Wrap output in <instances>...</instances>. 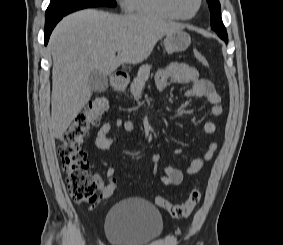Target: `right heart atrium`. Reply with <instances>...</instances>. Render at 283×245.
I'll use <instances>...</instances> for the list:
<instances>
[{
    "label": "right heart atrium",
    "mask_w": 283,
    "mask_h": 245,
    "mask_svg": "<svg viewBox=\"0 0 283 245\" xmlns=\"http://www.w3.org/2000/svg\"><path fill=\"white\" fill-rule=\"evenodd\" d=\"M121 6H124L125 0H117Z\"/></svg>",
    "instance_id": "right-heart-atrium-1"
}]
</instances>
